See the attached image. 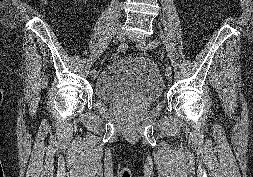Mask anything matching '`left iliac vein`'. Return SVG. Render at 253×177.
I'll return each instance as SVG.
<instances>
[{
  "mask_svg": "<svg viewBox=\"0 0 253 177\" xmlns=\"http://www.w3.org/2000/svg\"><path fill=\"white\" fill-rule=\"evenodd\" d=\"M136 46L140 49V50H146L145 46H146V40L144 38H137L135 40ZM165 76L166 79L168 81L172 80V72L171 71H165Z\"/></svg>",
  "mask_w": 253,
  "mask_h": 177,
  "instance_id": "4c4485c4",
  "label": "left iliac vein"
}]
</instances>
